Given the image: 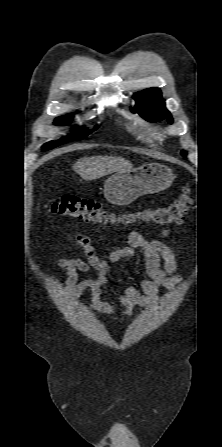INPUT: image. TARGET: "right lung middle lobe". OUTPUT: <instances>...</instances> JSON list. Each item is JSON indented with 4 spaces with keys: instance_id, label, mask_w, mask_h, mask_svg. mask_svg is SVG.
<instances>
[{
    "instance_id": "1",
    "label": "right lung middle lobe",
    "mask_w": 222,
    "mask_h": 447,
    "mask_svg": "<svg viewBox=\"0 0 222 447\" xmlns=\"http://www.w3.org/2000/svg\"><path fill=\"white\" fill-rule=\"evenodd\" d=\"M70 120H71V117H70V116L59 117V118H57V119L55 120L54 123H55L56 125H64V124H67ZM74 130H75L78 134H79L80 132H83L84 135L79 134L78 136L62 137L60 140H58V141L55 142L54 144H49V143L45 144V145L43 146V150L52 149V148H54V147H56V146H58V145H60V144H62V143H65V142L69 141V140H77V139L83 138V137L87 136L88 134L92 133V131H86V130H84V129L81 128V127H74Z\"/></svg>"
}]
</instances>
